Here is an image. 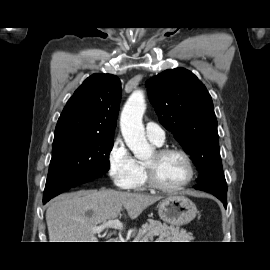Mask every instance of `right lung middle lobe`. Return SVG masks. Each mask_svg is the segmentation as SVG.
<instances>
[{
    "label": "right lung middle lobe",
    "instance_id": "dd1d6c3e",
    "mask_svg": "<svg viewBox=\"0 0 270 270\" xmlns=\"http://www.w3.org/2000/svg\"><path fill=\"white\" fill-rule=\"evenodd\" d=\"M113 138L79 133L55 134L44 194L55 196L66 191L65 179L75 186L102 176L110 167Z\"/></svg>",
    "mask_w": 270,
    "mask_h": 270
}]
</instances>
